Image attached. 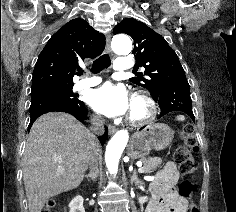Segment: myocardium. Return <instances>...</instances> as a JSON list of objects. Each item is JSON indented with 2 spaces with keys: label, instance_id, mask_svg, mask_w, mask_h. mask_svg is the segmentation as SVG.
Instances as JSON below:
<instances>
[{
  "label": "myocardium",
  "instance_id": "obj_1",
  "mask_svg": "<svg viewBox=\"0 0 236 212\" xmlns=\"http://www.w3.org/2000/svg\"><path fill=\"white\" fill-rule=\"evenodd\" d=\"M134 106L139 107V112L134 111ZM156 113V102L147 94L136 92L132 97V109L127 122L133 127H143L155 118Z\"/></svg>",
  "mask_w": 236,
  "mask_h": 212
}]
</instances>
